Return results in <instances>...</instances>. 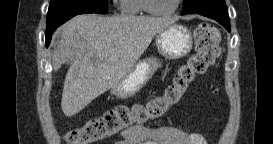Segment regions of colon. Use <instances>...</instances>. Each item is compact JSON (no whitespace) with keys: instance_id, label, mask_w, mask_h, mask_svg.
<instances>
[{"instance_id":"1","label":"colon","mask_w":273,"mask_h":144,"mask_svg":"<svg viewBox=\"0 0 273 144\" xmlns=\"http://www.w3.org/2000/svg\"><path fill=\"white\" fill-rule=\"evenodd\" d=\"M195 54L182 65L171 82L157 96L128 105H118L102 116L88 120L66 135L69 144L95 143L134 126L159 118L179 103L190 84L203 76L219 56L220 34L211 23H201L194 32Z\"/></svg>"}]
</instances>
